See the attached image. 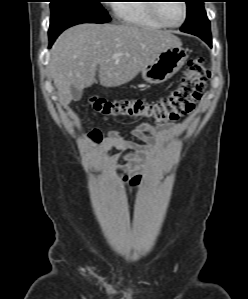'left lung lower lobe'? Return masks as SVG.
Instances as JSON below:
<instances>
[{
    "instance_id": "0a47b994",
    "label": "left lung lower lobe",
    "mask_w": 248,
    "mask_h": 299,
    "mask_svg": "<svg viewBox=\"0 0 248 299\" xmlns=\"http://www.w3.org/2000/svg\"><path fill=\"white\" fill-rule=\"evenodd\" d=\"M199 37L202 38L209 46H211V38H208L206 34L199 33Z\"/></svg>"
}]
</instances>
